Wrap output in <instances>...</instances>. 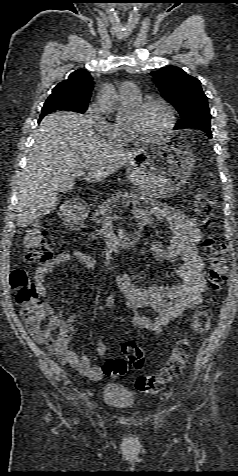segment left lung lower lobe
<instances>
[{
	"label": "left lung lower lobe",
	"instance_id": "left-lung-lower-lobe-1",
	"mask_svg": "<svg viewBox=\"0 0 238 476\" xmlns=\"http://www.w3.org/2000/svg\"><path fill=\"white\" fill-rule=\"evenodd\" d=\"M199 130L204 131L205 133H207V135H208L209 138H212V133H211V130H210V129L202 128V129H199Z\"/></svg>",
	"mask_w": 238,
	"mask_h": 476
}]
</instances>
